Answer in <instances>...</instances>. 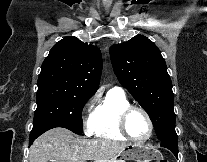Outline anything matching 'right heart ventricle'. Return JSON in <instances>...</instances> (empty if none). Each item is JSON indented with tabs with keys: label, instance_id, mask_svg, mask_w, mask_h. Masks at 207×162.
I'll list each match as a JSON object with an SVG mask.
<instances>
[{
	"label": "right heart ventricle",
	"instance_id": "e07e8e85",
	"mask_svg": "<svg viewBox=\"0 0 207 162\" xmlns=\"http://www.w3.org/2000/svg\"><path fill=\"white\" fill-rule=\"evenodd\" d=\"M129 105L124 93L110 90L93 111L92 133L102 139L126 140L118 129V117L120 112Z\"/></svg>",
	"mask_w": 207,
	"mask_h": 162
}]
</instances>
